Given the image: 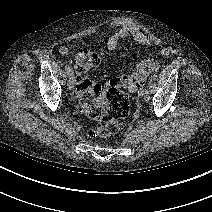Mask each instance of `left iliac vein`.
Masks as SVG:
<instances>
[{"instance_id":"left-iliac-vein-1","label":"left iliac vein","mask_w":212,"mask_h":212,"mask_svg":"<svg viewBox=\"0 0 212 212\" xmlns=\"http://www.w3.org/2000/svg\"><path fill=\"white\" fill-rule=\"evenodd\" d=\"M144 93H145V92H144V89H143V88L139 89L138 95H139L140 97L145 96ZM144 100H145V97H144ZM145 101H146V100H145Z\"/></svg>"}]
</instances>
